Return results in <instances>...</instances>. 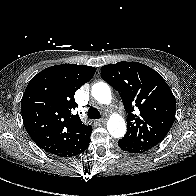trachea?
I'll list each match as a JSON object with an SVG mask.
<instances>
[{
    "label": "trachea",
    "instance_id": "trachea-1",
    "mask_svg": "<svg viewBox=\"0 0 196 196\" xmlns=\"http://www.w3.org/2000/svg\"><path fill=\"white\" fill-rule=\"evenodd\" d=\"M88 118L90 119H100L101 118V114L100 112L98 111V109L94 108V107H90L88 109Z\"/></svg>",
    "mask_w": 196,
    "mask_h": 196
}]
</instances>
